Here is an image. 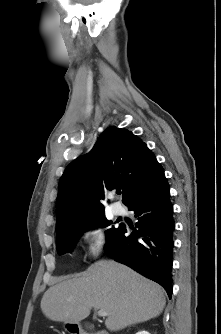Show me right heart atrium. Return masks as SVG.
Wrapping results in <instances>:
<instances>
[{
  "instance_id": "right-heart-atrium-1",
  "label": "right heart atrium",
  "mask_w": 221,
  "mask_h": 334,
  "mask_svg": "<svg viewBox=\"0 0 221 334\" xmlns=\"http://www.w3.org/2000/svg\"><path fill=\"white\" fill-rule=\"evenodd\" d=\"M82 240L90 258H98L107 245L105 229L99 223H91L82 230Z\"/></svg>"
}]
</instances>
